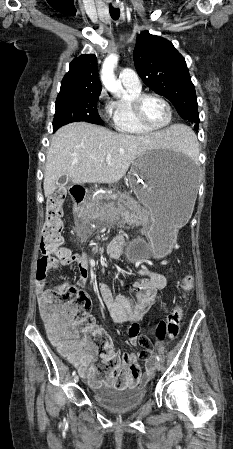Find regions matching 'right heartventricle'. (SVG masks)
Returning a JSON list of instances; mask_svg holds the SVG:
<instances>
[{"label": "right heart ventricle", "instance_id": "right-heart-ventricle-1", "mask_svg": "<svg viewBox=\"0 0 233 449\" xmlns=\"http://www.w3.org/2000/svg\"><path fill=\"white\" fill-rule=\"evenodd\" d=\"M125 95L112 101L108 108L112 127L121 134L145 136L152 131L142 127L132 112V100L141 94V88L124 85Z\"/></svg>", "mask_w": 233, "mask_h": 449}]
</instances>
